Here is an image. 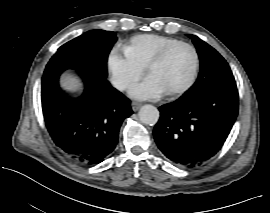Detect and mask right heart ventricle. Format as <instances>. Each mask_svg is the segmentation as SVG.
Segmentation results:
<instances>
[{
    "label": "right heart ventricle",
    "mask_w": 270,
    "mask_h": 213,
    "mask_svg": "<svg viewBox=\"0 0 270 213\" xmlns=\"http://www.w3.org/2000/svg\"><path fill=\"white\" fill-rule=\"evenodd\" d=\"M181 42L179 39L156 34L139 35L125 48L127 56L146 67L164 49Z\"/></svg>",
    "instance_id": "1"
}]
</instances>
